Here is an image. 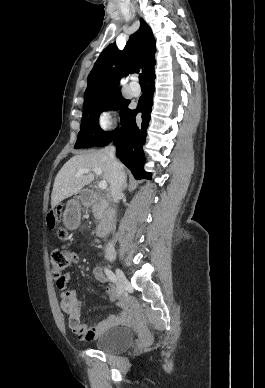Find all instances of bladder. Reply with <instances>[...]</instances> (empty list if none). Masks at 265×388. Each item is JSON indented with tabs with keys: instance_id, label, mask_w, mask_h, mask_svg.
<instances>
[{
	"instance_id": "obj_1",
	"label": "bladder",
	"mask_w": 265,
	"mask_h": 388,
	"mask_svg": "<svg viewBox=\"0 0 265 388\" xmlns=\"http://www.w3.org/2000/svg\"><path fill=\"white\" fill-rule=\"evenodd\" d=\"M133 334L130 328H113L96 339V347L102 351H117L132 345Z\"/></svg>"
}]
</instances>
